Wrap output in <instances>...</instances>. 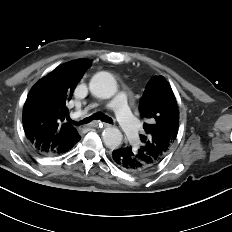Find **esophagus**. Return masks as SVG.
Masks as SVG:
<instances>
[{"label":"esophagus","mask_w":232,"mask_h":232,"mask_svg":"<svg viewBox=\"0 0 232 232\" xmlns=\"http://www.w3.org/2000/svg\"><path fill=\"white\" fill-rule=\"evenodd\" d=\"M91 127H100V128H106V127H110L111 125L108 123H102V122H92L90 124Z\"/></svg>","instance_id":"esophagus-1"}]
</instances>
